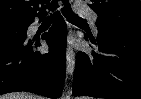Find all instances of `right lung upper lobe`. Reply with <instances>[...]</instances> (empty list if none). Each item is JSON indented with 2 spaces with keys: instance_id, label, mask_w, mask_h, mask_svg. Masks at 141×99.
<instances>
[{
  "instance_id": "cb5924a9",
  "label": "right lung upper lobe",
  "mask_w": 141,
  "mask_h": 99,
  "mask_svg": "<svg viewBox=\"0 0 141 99\" xmlns=\"http://www.w3.org/2000/svg\"><path fill=\"white\" fill-rule=\"evenodd\" d=\"M50 0H0V22L28 21L46 14L43 4ZM42 5L39 8V5Z\"/></svg>"
}]
</instances>
